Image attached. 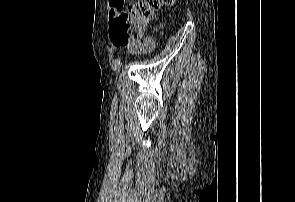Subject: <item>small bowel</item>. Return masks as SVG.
Returning a JSON list of instances; mask_svg holds the SVG:
<instances>
[{"label": "small bowel", "instance_id": "obj_1", "mask_svg": "<svg viewBox=\"0 0 295 202\" xmlns=\"http://www.w3.org/2000/svg\"><path fill=\"white\" fill-rule=\"evenodd\" d=\"M126 0H109V14L110 17L114 20L124 9ZM146 41L153 45L154 41L151 37L146 38ZM128 48L131 51H138L137 48L128 45Z\"/></svg>", "mask_w": 295, "mask_h": 202}]
</instances>
